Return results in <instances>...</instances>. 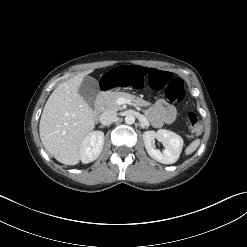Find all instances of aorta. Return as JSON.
I'll return each mask as SVG.
<instances>
[{
	"mask_svg": "<svg viewBox=\"0 0 247 247\" xmlns=\"http://www.w3.org/2000/svg\"><path fill=\"white\" fill-rule=\"evenodd\" d=\"M135 122V117L133 114H127L125 116V123L128 124V125H131Z\"/></svg>",
	"mask_w": 247,
	"mask_h": 247,
	"instance_id": "obj_1",
	"label": "aorta"
}]
</instances>
